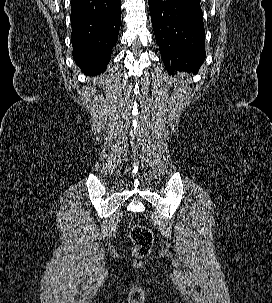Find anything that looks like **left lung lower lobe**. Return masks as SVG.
<instances>
[{
    "label": "left lung lower lobe",
    "mask_w": 272,
    "mask_h": 303,
    "mask_svg": "<svg viewBox=\"0 0 272 303\" xmlns=\"http://www.w3.org/2000/svg\"><path fill=\"white\" fill-rule=\"evenodd\" d=\"M201 0H148L162 61L169 73L191 71L205 59Z\"/></svg>",
    "instance_id": "left-lung-lower-lobe-1"
}]
</instances>
